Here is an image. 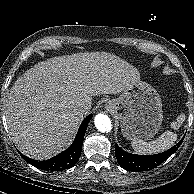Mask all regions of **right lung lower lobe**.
Returning <instances> with one entry per match:
<instances>
[{"label": "right lung lower lobe", "mask_w": 194, "mask_h": 194, "mask_svg": "<svg viewBox=\"0 0 194 194\" xmlns=\"http://www.w3.org/2000/svg\"><path fill=\"white\" fill-rule=\"evenodd\" d=\"M91 118L92 114H89L83 120L72 145L62 153L58 154L57 156L49 160L37 161L23 155L22 153H20V155L26 162L42 170L62 171L73 167L80 158L84 135Z\"/></svg>", "instance_id": "1"}]
</instances>
